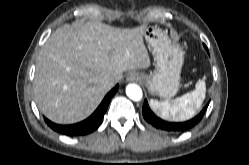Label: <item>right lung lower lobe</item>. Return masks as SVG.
<instances>
[{
  "instance_id": "obj_1",
  "label": "right lung lower lobe",
  "mask_w": 249,
  "mask_h": 165,
  "mask_svg": "<svg viewBox=\"0 0 249 165\" xmlns=\"http://www.w3.org/2000/svg\"><path fill=\"white\" fill-rule=\"evenodd\" d=\"M118 89V85L114 87L103 99L101 104L98 106V108L95 110V112L88 117L86 120L73 124V125H58L55 123H52L47 118H44L45 122L50 126L54 131L68 135V136H78V135H85L88 133L93 132L96 130L100 124L102 123L104 114L106 113V110L108 108L109 102L113 95L116 93Z\"/></svg>"
}]
</instances>
